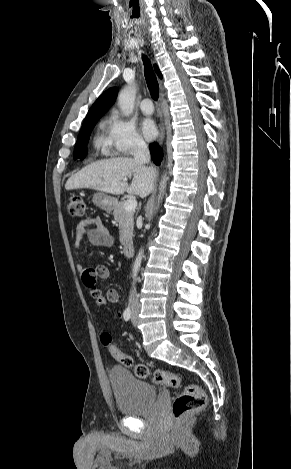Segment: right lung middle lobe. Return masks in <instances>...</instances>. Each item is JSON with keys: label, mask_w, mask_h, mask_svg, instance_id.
Instances as JSON below:
<instances>
[{"label": "right lung middle lobe", "mask_w": 291, "mask_h": 469, "mask_svg": "<svg viewBox=\"0 0 291 469\" xmlns=\"http://www.w3.org/2000/svg\"><path fill=\"white\" fill-rule=\"evenodd\" d=\"M99 118L85 119L80 130L75 149H74V159L80 158L83 160L87 155V141L90 136V133L97 123Z\"/></svg>", "instance_id": "obj_1"}]
</instances>
